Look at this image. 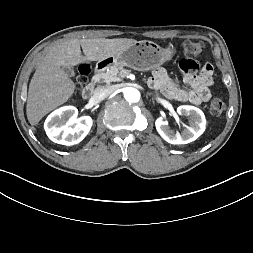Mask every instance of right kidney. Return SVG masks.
<instances>
[{
    "label": "right kidney",
    "instance_id": "right-kidney-1",
    "mask_svg": "<svg viewBox=\"0 0 253 253\" xmlns=\"http://www.w3.org/2000/svg\"><path fill=\"white\" fill-rule=\"evenodd\" d=\"M77 114L74 106H64L52 112L44 123L49 139L67 146L81 142L89 133L93 120L90 116L77 118Z\"/></svg>",
    "mask_w": 253,
    "mask_h": 253
}]
</instances>
